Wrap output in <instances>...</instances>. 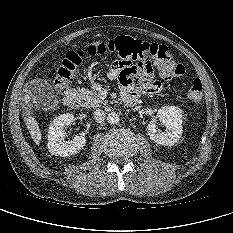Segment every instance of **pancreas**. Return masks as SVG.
Here are the masks:
<instances>
[{
	"label": "pancreas",
	"instance_id": "1",
	"mask_svg": "<svg viewBox=\"0 0 233 233\" xmlns=\"http://www.w3.org/2000/svg\"><path fill=\"white\" fill-rule=\"evenodd\" d=\"M79 97L83 100V106L85 107H100L102 104H106V101L99 98L96 92L90 91L85 88H81L78 90Z\"/></svg>",
	"mask_w": 233,
	"mask_h": 233
}]
</instances>
